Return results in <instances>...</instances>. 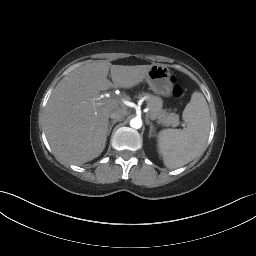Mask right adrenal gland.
I'll use <instances>...</instances> for the list:
<instances>
[{
	"label": "right adrenal gland",
	"instance_id": "1",
	"mask_svg": "<svg viewBox=\"0 0 256 256\" xmlns=\"http://www.w3.org/2000/svg\"><path fill=\"white\" fill-rule=\"evenodd\" d=\"M116 122H117L116 120H113V121L108 123V128H107V135L108 136L110 135L111 130H112V128H113V126L115 125Z\"/></svg>",
	"mask_w": 256,
	"mask_h": 256
}]
</instances>
